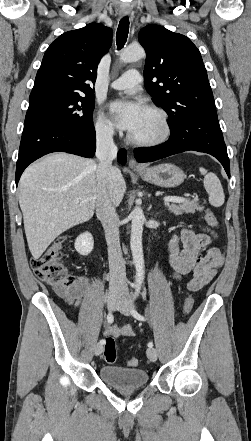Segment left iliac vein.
<instances>
[{
	"instance_id": "1",
	"label": "left iliac vein",
	"mask_w": 251,
	"mask_h": 441,
	"mask_svg": "<svg viewBox=\"0 0 251 441\" xmlns=\"http://www.w3.org/2000/svg\"><path fill=\"white\" fill-rule=\"evenodd\" d=\"M116 309L126 316L131 315V310L133 309V306L131 305V302H130V299H129V296L127 293H124L122 295V297L120 298V300L116 306ZM146 353H147V357L152 362H155L157 360L158 354H157V351L155 348L149 347L147 349Z\"/></svg>"
}]
</instances>
